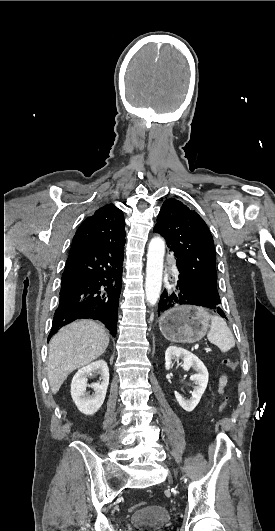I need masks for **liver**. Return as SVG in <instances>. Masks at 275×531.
<instances>
[{
	"label": "liver",
	"mask_w": 275,
	"mask_h": 531,
	"mask_svg": "<svg viewBox=\"0 0 275 531\" xmlns=\"http://www.w3.org/2000/svg\"><path fill=\"white\" fill-rule=\"evenodd\" d=\"M108 345L106 331L95 321H75L62 327L49 345L47 375L51 393L56 395L72 371L101 357Z\"/></svg>",
	"instance_id": "6515ba94"
}]
</instances>
